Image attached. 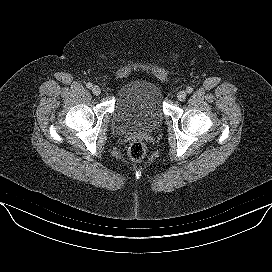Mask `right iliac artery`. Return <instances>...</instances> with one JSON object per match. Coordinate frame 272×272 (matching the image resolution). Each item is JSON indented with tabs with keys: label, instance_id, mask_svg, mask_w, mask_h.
Segmentation results:
<instances>
[{
	"label": "right iliac artery",
	"instance_id": "right-iliac-artery-1",
	"mask_svg": "<svg viewBox=\"0 0 272 272\" xmlns=\"http://www.w3.org/2000/svg\"><path fill=\"white\" fill-rule=\"evenodd\" d=\"M92 86H93V85H92V83H90V82L86 84V87L89 88V89L92 88Z\"/></svg>",
	"mask_w": 272,
	"mask_h": 272
}]
</instances>
